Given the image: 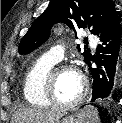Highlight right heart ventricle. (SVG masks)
I'll list each match as a JSON object with an SVG mask.
<instances>
[{
	"instance_id": "1",
	"label": "right heart ventricle",
	"mask_w": 122,
	"mask_h": 123,
	"mask_svg": "<svg viewBox=\"0 0 122 123\" xmlns=\"http://www.w3.org/2000/svg\"><path fill=\"white\" fill-rule=\"evenodd\" d=\"M56 63L44 55L36 60L26 72L23 93L30 105L40 108L51 105L45 96V83L48 72Z\"/></svg>"
}]
</instances>
